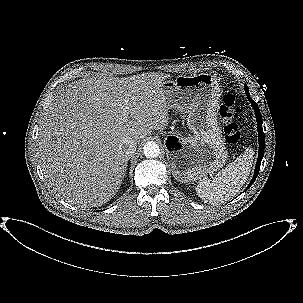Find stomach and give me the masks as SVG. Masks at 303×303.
<instances>
[{
  "label": "stomach",
  "instance_id": "obj_1",
  "mask_svg": "<svg viewBox=\"0 0 303 303\" xmlns=\"http://www.w3.org/2000/svg\"><path fill=\"white\" fill-rule=\"evenodd\" d=\"M162 91L168 109L187 114V126L193 133L187 138L169 135L165 139L175 179L193 182L222 168L228 153L218 119L221 89L215 77L179 75L174 81H164Z\"/></svg>",
  "mask_w": 303,
  "mask_h": 303
}]
</instances>
